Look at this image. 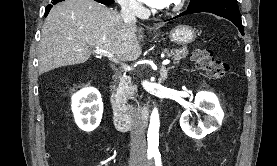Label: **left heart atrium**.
I'll use <instances>...</instances> for the list:
<instances>
[{"label":"left heart atrium","instance_id":"39dd6f15","mask_svg":"<svg viewBox=\"0 0 277 166\" xmlns=\"http://www.w3.org/2000/svg\"><path fill=\"white\" fill-rule=\"evenodd\" d=\"M148 6H151L153 8H164L168 2V0H141Z\"/></svg>","mask_w":277,"mask_h":166}]
</instances>
